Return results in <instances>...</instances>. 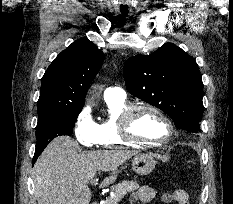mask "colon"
I'll list each match as a JSON object with an SVG mask.
<instances>
[{
  "mask_svg": "<svg viewBox=\"0 0 233 204\" xmlns=\"http://www.w3.org/2000/svg\"><path fill=\"white\" fill-rule=\"evenodd\" d=\"M179 189H175V190H172V191H170V192H167V193H165L164 194V198L165 199H174L175 198V196H176V192L178 191Z\"/></svg>",
  "mask_w": 233,
  "mask_h": 204,
  "instance_id": "5ec220e1",
  "label": "colon"
}]
</instances>
